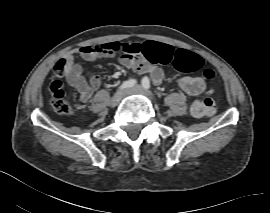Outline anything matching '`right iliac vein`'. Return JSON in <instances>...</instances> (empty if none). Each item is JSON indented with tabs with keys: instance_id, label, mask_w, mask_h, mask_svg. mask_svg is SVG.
I'll use <instances>...</instances> for the list:
<instances>
[{
	"instance_id": "obj_1",
	"label": "right iliac vein",
	"mask_w": 270,
	"mask_h": 213,
	"mask_svg": "<svg viewBox=\"0 0 270 213\" xmlns=\"http://www.w3.org/2000/svg\"><path fill=\"white\" fill-rule=\"evenodd\" d=\"M124 95V91L123 90H118L114 96L112 97V100H111V106L112 107H115L116 105L119 104V102L121 101L122 97Z\"/></svg>"
}]
</instances>
